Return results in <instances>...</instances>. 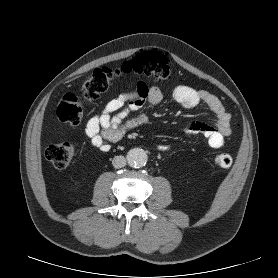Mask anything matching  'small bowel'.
Segmentation results:
<instances>
[{"label":"small bowel","instance_id":"obj_1","mask_svg":"<svg viewBox=\"0 0 278 278\" xmlns=\"http://www.w3.org/2000/svg\"><path fill=\"white\" fill-rule=\"evenodd\" d=\"M163 96L160 86H149L143 81L137 83L135 90L119 94L105 105L101 113L87 121L84 131L90 144L101 152H108L111 143L120 141L129 131L149 121L147 113L129 117L130 113L144 106L149 109L155 107L162 101ZM171 96L175 102L186 109L195 108L201 103L205 104L215 115L216 125L213 127L202 122H191L185 126V131L203 135L209 146L214 149L224 145L225 139L232 133L231 116L214 94L187 85H177L173 88ZM157 149L161 152H169L171 147L160 144Z\"/></svg>","mask_w":278,"mask_h":278}]
</instances>
